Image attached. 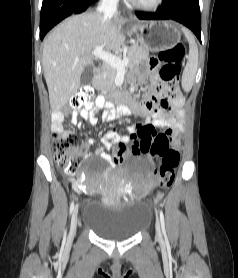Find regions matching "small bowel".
Listing matches in <instances>:
<instances>
[{
    "instance_id": "obj_1",
    "label": "small bowel",
    "mask_w": 238,
    "mask_h": 278,
    "mask_svg": "<svg viewBox=\"0 0 238 278\" xmlns=\"http://www.w3.org/2000/svg\"><path fill=\"white\" fill-rule=\"evenodd\" d=\"M148 72L151 75V90L146 97L140 101H130L125 104L115 106L112 102L107 101L105 97L98 96L95 102L94 110L82 109L80 111H73L71 113L72 123L80 125L78 122V116L87 120L91 125L95 126L98 123L96 117L97 110H103V119L106 121H112L120 116H131L139 115L143 117H154L156 118L154 124L147 123L144 125L129 126L127 128L129 134L122 136L116 129H112L104 133L100 141L104 148L110 149L116 145L132 142L133 144L139 143L142 137H153L152 142L155 144H171V149L176 148L180 143V134L183 126V111H182V99L178 92L171 95L170 108L171 111L167 118V127L162 133L158 132V127L162 124L157 120V102L160 101V97L163 95L166 84H163L162 76L155 75V72H159L162 68L160 64L159 55H148ZM145 79L144 74L136 73L130 77L132 82L139 81L143 82ZM64 114L60 111H54L51 115V127L53 132H67L63 128ZM95 143L94 139L86 141L82 147L81 152L84 158L96 155L103 158H108V155L103 149H98L94 153L89 152L90 147ZM159 157L160 154H155ZM73 186L77 191H82V182L80 180L74 181ZM148 188H152L154 183L148 181Z\"/></svg>"
}]
</instances>
